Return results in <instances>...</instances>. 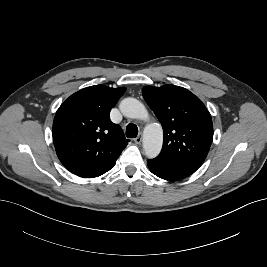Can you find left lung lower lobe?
I'll return each instance as SVG.
<instances>
[{
  "label": "left lung lower lobe",
  "instance_id": "1",
  "mask_svg": "<svg viewBox=\"0 0 267 267\" xmlns=\"http://www.w3.org/2000/svg\"><path fill=\"white\" fill-rule=\"evenodd\" d=\"M147 165L153 174L168 181L183 179L198 169L192 165L165 162L156 158L147 161Z\"/></svg>",
  "mask_w": 267,
  "mask_h": 267
}]
</instances>
